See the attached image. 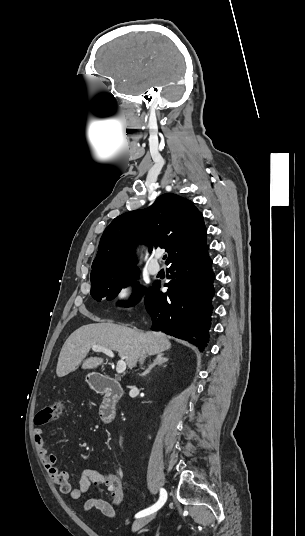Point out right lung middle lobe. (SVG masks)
Returning a JSON list of instances; mask_svg holds the SVG:
<instances>
[{"label": "right lung middle lobe", "mask_w": 305, "mask_h": 536, "mask_svg": "<svg viewBox=\"0 0 305 536\" xmlns=\"http://www.w3.org/2000/svg\"><path fill=\"white\" fill-rule=\"evenodd\" d=\"M139 278V270H134L123 275L112 278L91 281V295L100 301L102 297H107V300L115 298L123 287L130 283L135 285V292L131 299L130 305L138 303L142 294L146 291L145 288H138V283L135 281Z\"/></svg>", "instance_id": "right-lung-middle-lobe-1"}]
</instances>
